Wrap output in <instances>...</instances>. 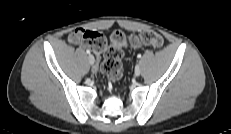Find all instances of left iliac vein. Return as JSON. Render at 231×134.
Here are the masks:
<instances>
[{"label": "left iliac vein", "mask_w": 231, "mask_h": 134, "mask_svg": "<svg viewBox=\"0 0 231 134\" xmlns=\"http://www.w3.org/2000/svg\"><path fill=\"white\" fill-rule=\"evenodd\" d=\"M140 74H141V69H140V66L137 65L135 68V76H139Z\"/></svg>", "instance_id": "obj_1"}]
</instances>
